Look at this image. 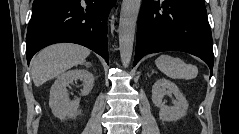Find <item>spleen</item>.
<instances>
[{
	"instance_id": "spleen-1",
	"label": "spleen",
	"mask_w": 239,
	"mask_h": 134,
	"mask_svg": "<svg viewBox=\"0 0 239 134\" xmlns=\"http://www.w3.org/2000/svg\"><path fill=\"white\" fill-rule=\"evenodd\" d=\"M155 64L163 74L172 79L190 80L196 78L198 74V68L195 65L186 64L182 59L168 54L160 55Z\"/></svg>"
}]
</instances>
